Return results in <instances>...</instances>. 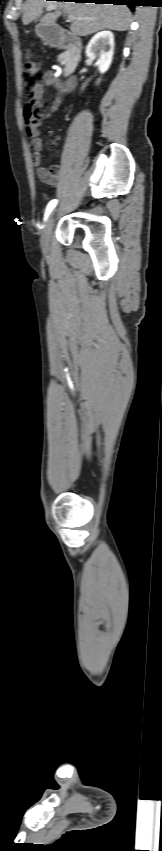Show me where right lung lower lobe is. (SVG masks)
I'll return each instance as SVG.
<instances>
[{
	"mask_svg": "<svg viewBox=\"0 0 162 851\" xmlns=\"http://www.w3.org/2000/svg\"><path fill=\"white\" fill-rule=\"evenodd\" d=\"M66 1V0H63ZM75 2H85V3H96V4H114V5H128L132 10L133 6H136V0H74Z\"/></svg>",
	"mask_w": 162,
	"mask_h": 851,
	"instance_id": "obj_1",
	"label": "right lung lower lobe"
}]
</instances>
